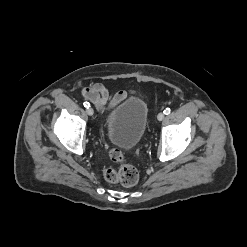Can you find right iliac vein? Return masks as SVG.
I'll use <instances>...</instances> for the list:
<instances>
[{
	"instance_id": "63e3f726",
	"label": "right iliac vein",
	"mask_w": 247,
	"mask_h": 247,
	"mask_svg": "<svg viewBox=\"0 0 247 247\" xmlns=\"http://www.w3.org/2000/svg\"><path fill=\"white\" fill-rule=\"evenodd\" d=\"M86 112H87V114H88L89 116H92V115L94 114V111H93L92 108H87Z\"/></svg>"
}]
</instances>
